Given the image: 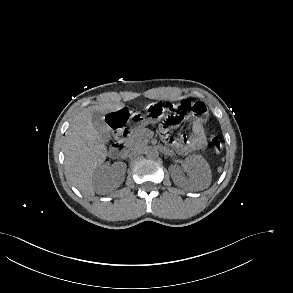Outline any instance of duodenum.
Wrapping results in <instances>:
<instances>
[{"label":"duodenum","mask_w":293,"mask_h":293,"mask_svg":"<svg viewBox=\"0 0 293 293\" xmlns=\"http://www.w3.org/2000/svg\"><path fill=\"white\" fill-rule=\"evenodd\" d=\"M129 136H130V129L125 128L122 130L119 141L117 142L115 148L112 151L113 156L120 155L124 153L129 145Z\"/></svg>","instance_id":"1"}]
</instances>
